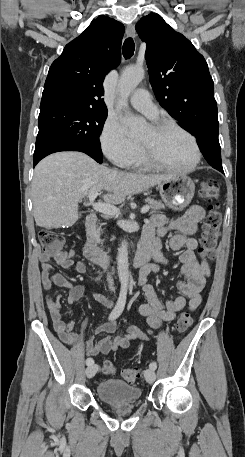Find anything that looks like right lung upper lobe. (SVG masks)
<instances>
[{
	"label": "right lung upper lobe",
	"instance_id": "obj_1",
	"mask_svg": "<svg viewBox=\"0 0 245 457\" xmlns=\"http://www.w3.org/2000/svg\"><path fill=\"white\" fill-rule=\"evenodd\" d=\"M124 30L122 23L100 15L67 44L49 69L40 112L63 106L106 109L103 80L121 61Z\"/></svg>",
	"mask_w": 245,
	"mask_h": 457
}]
</instances>
